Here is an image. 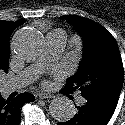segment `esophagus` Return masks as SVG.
Wrapping results in <instances>:
<instances>
[{
    "label": "esophagus",
    "mask_w": 125,
    "mask_h": 125,
    "mask_svg": "<svg viewBox=\"0 0 125 125\" xmlns=\"http://www.w3.org/2000/svg\"><path fill=\"white\" fill-rule=\"evenodd\" d=\"M38 97L40 99H51V98H54L53 95L49 94V93H45V92H41L38 94Z\"/></svg>",
    "instance_id": "1"
}]
</instances>
